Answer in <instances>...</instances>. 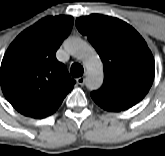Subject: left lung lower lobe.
I'll return each instance as SVG.
<instances>
[{
  "instance_id": "0a47b994",
  "label": "left lung lower lobe",
  "mask_w": 165,
  "mask_h": 156,
  "mask_svg": "<svg viewBox=\"0 0 165 156\" xmlns=\"http://www.w3.org/2000/svg\"><path fill=\"white\" fill-rule=\"evenodd\" d=\"M92 99L94 100V102H95L96 104H98V105H99L101 108H103L104 110H106V111H111V112H118V111L112 109L111 107H109V106H107V105L101 103V102L98 101L97 99H95V98H93V97H92Z\"/></svg>"
}]
</instances>
